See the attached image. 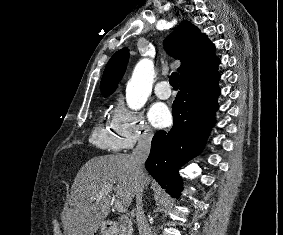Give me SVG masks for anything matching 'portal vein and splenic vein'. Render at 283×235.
Masks as SVG:
<instances>
[{"mask_svg":"<svg viewBox=\"0 0 283 235\" xmlns=\"http://www.w3.org/2000/svg\"><path fill=\"white\" fill-rule=\"evenodd\" d=\"M112 190H113L112 185H110L106 188L107 192H111ZM114 206H115L116 210L120 213H126L127 212L126 207L122 204V202L120 200H115Z\"/></svg>","mask_w":283,"mask_h":235,"instance_id":"obj_1","label":"portal vein and splenic vein"}]
</instances>
